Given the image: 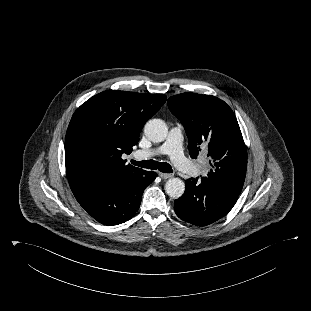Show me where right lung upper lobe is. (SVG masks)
<instances>
[{
  "label": "right lung upper lobe",
  "instance_id": "obj_1",
  "mask_svg": "<svg viewBox=\"0 0 311 311\" xmlns=\"http://www.w3.org/2000/svg\"><path fill=\"white\" fill-rule=\"evenodd\" d=\"M164 94L108 90L83 103L73 114L65 139L68 181L103 175L127 179L145 170L126 164L140 132L165 103Z\"/></svg>",
  "mask_w": 311,
  "mask_h": 311
}]
</instances>
